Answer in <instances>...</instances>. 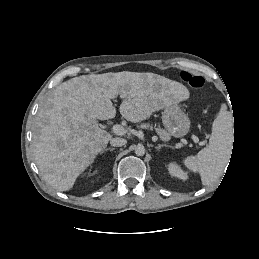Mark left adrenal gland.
Here are the masks:
<instances>
[{
	"label": "left adrenal gland",
	"mask_w": 259,
	"mask_h": 259,
	"mask_svg": "<svg viewBox=\"0 0 259 259\" xmlns=\"http://www.w3.org/2000/svg\"><path fill=\"white\" fill-rule=\"evenodd\" d=\"M162 147H169V145H166V144H158V146H156L155 149L160 150Z\"/></svg>",
	"instance_id": "a2214340"
}]
</instances>
